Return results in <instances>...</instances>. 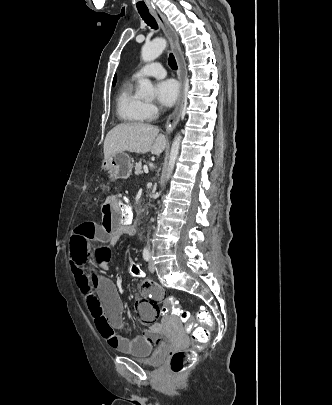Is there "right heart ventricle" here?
<instances>
[{"instance_id":"right-heart-ventricle-1","label":"right heart ventricle","mask_w":332,"mask_h":405,"mask_svg":"<svg viewBox=\"0 0 332 405\" xmlns=\"http://www.w3.org/2000/svg\"><path fill=\"white\" fill-rule=\"evenodd\" d=\"M116 111L124 123L139 124L148 120L146 104L135 95L133 80L121 87L116 98Z\"/></svg>"}]
</instances>
